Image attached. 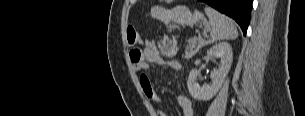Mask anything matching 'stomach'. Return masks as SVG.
<instances>
[{
    "instance_id": "stomach-1",
    "label": "stomach",
    "mask_w": 305,
    "mask_h": 116,
    "mask_svg": "<svg viewBox=\"0 0 305 116\" xmlns=\"http://www.w3.org/2000/svg\"><path fill=\"white\" fill-rule=\"evenodd\" d=\"M151 16L163 22H173L178 25L193 26L198 24L203 16L199 12L192 13L186 6L178 5L172 9H165L161 6L151 8Z\"/></svg>"
}]
</instances>
